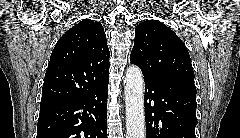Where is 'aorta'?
<instances>
[{
  "label": "aorta",
  "instance_id": "obj_1",
  "mask_svg": "<svg viewBox=\"0 0 240 138\" xmlns=\"http://www.w3.org/2000/svg\"><path fill=\"white\" fill-rule=\"evenodd\" d=\"M126 137L145 138L144 80L139 67L132 65L125 75Z\"/></svg>",
  "mask_w": 240,
  "mask_h": 138
}]
</instances>
